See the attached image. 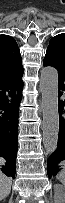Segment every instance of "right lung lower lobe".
I'll return each mask as SVG.
<instances>
[{"instance_id": "1", "label": "right lung lower lobe", "mask_w": 65, "mask_h": 203, "mask_svg": "<svg viewBox=\"0 0 65 203\" xmlns=\"http://www.w3.org/2000/svg\"><path fill=\"white\" fill-rule=\"evenodd\" d=\"M23 71L0 76V157L5 159L0 171L15 177L19 104L22 99ZM2 159V158H1Z\"/></svg>"}]
</instances>
